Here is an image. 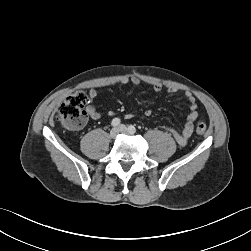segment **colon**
<instances>
[{
  "instance_id": "5ec220e1",
  "label": "colon",
  "mask_w": 251,
  "mask_h": 251,
  "mask_svg": "<svg viewBox=\"0 0 251 251\" xmlns=\"http://www.w3.org/2000/svg\"><path fill=\"white\" fill-rule=\"evenodd\" d=\"M88 101V96L83 91H76L70 94L61 104L58 111V120L70 129H80L87 121V113L84 109ZM207 126L203 122L196 124V132L204 135Z\"/></svg>"
}]
</instances>
